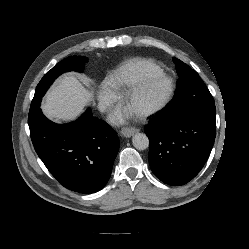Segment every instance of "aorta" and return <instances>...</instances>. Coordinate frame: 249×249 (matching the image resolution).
I'll use <instances>...</instances> for the list:
<instances>
[{"mask_svg": "<svg viewBox=\"0 0 249 249\" xmlns=\"http://www.w3.org/2000/svg\"><path fill=\"white\" fill-rule=\"evenodd\" d=\"M132 144L137 150H145L149 147V139L144 133H136L132 137Z\"/></svg>", "mask_w": 249, "mask_h": 249, "instance_id": "obj_1", "label": "aorta"}]
</instances>
